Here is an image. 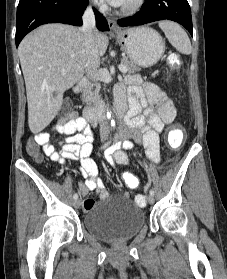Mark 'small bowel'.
Returning a JSON list of instances; mask_svg holds the SVG:
<instances>
[{
    "label": "small bowel",
    "instance_id": "c3829d8e",
    "mask_svg": "<svg viewBox=\"0 0 227 279\" xmlns=\"http://www.w3.org/2000/svg\"><path fill=\"white\" fill-rule=\"evenodd\" d=\"M125 86H117L116 99L128 102V111L121 125V132L114 144L105 150L104 157L111 165L128 164V154L124 150L133 148L134 143L142 142L146 154L153 162L160 160L159 135L167 125L171 124L176 116V108L170 96L151 82H143L136 75L126 79ZM53 130L64 135L61 150L49 142L50 133L43 132L33 138L41 145L44 154L53 162L64 164L67 160H80L81 173L85 178L80 183L79 190L82 196L96 190L98 198L103 201L108 193L103 188V182L97 176V166L90 157L93 151V133L86 120L73 112L58 118L54 122ZM109 128L104 129L105 133ZM96 205V200L85 198L83 209L90 212Z\"/></svg>",
    "mask_w": 227,
    "mask_h": 279
}]
</instances>
